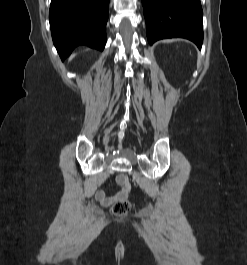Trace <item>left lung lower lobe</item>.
<instances>
[{"mask_svg": "<svg viewBox=\"0 0 247 265\" xmlns=\"http://www.w3.org/2000/svg\"><path fill=\"white\" fill-rule=\"evenodd\" d=\"M150 45L164 38L182 37L199 48L203 42L200 0H142Z\"/></svg>", "mask_w": 247, "mask_h": 265, "instance_id": "0a47b994", "label": "left lung lower lobe"}]
</instances>
